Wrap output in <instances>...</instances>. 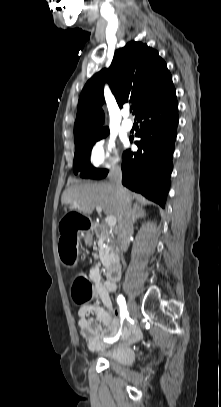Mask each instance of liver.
<instances>
[{
    "label": "liver",
    "instance_id": "obj_1",
    "mask_svg": "<svg viewBox=\"0 0 221 407\" xmlns=\"http://www.w3.org/2000/svg\"><path fill=\"white\" fill-rule=\"evenodd\" d=\"M131 206L133 194L126 190ZM62 204H69L79 212L91 215L100 206L107 216H114L119 222L120 204L115 187L110 182L86 183L67 188L61 197ZM137 206V204H134Z\"/></svg>",
    "mask_w": 221,
    "mask_h": 407
}]
</instances>
